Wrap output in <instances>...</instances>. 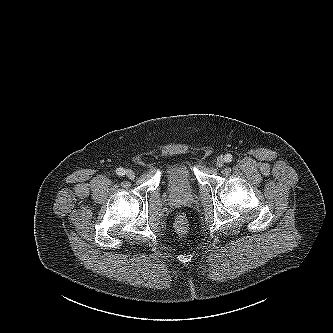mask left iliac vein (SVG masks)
I'll return each instance as SVG.
<instances>
[{
  "mask_svg": "<svg viewBox=\"0 0 333 333\" xmlns=\"http://www.w3.org/2000/svg\"><path fill=\"white\" fill-rule=\"evenodd\" d=\"M225 163V158L223 156H219L216 160V166L217 167H222Z\"/></svg>",
  "mask_w": 333,
  "mask_h": 333,
  "instance_id": "left-iliac-vein-1",
  "label": "left iliac vein"
}]
</instances>
